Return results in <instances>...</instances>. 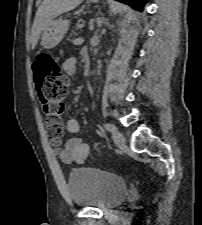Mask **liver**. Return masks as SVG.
<instances>
[{"instance_id": "obj_1", "label": "liver", "mask_w": 202, "mask_h": 225, "mask_svg": "<svg viewBox=\"0 0 202 225\" xmlns=\"http://www.w3.org/2000/svg\"><path fill=\"white\" fill-rule=\"evenodd\" d=\"M83 0H43L39 6L32 26L31 45L34 48L40 34L59 15L75 9Z\"/></svg>"}]
</instances>
